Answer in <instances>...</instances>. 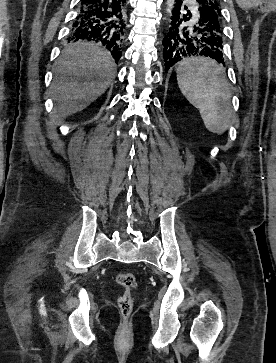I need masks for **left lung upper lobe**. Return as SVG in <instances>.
<instances>
[{"label":"left lung upper lobe","instance_id":"obj_1","mask_svg":"<svg viewBox=\"0 0 276 363\" xmlns=\"http://www.w3.org/2000/svg\"><path fill=\"white\" fill-rule=\"evenodd\" d=\"M198 3L202 4V3H205L207 4L208 6L212 7L216 13L218 14L219 16V19L222 23V14H221V8H220V3H219V0H197ZM221 39L223 37V32L221 34H219Z\"/></svg>","mask_w":276,"mask_h":363}]
</instances>
